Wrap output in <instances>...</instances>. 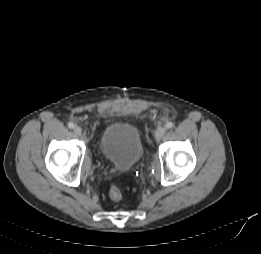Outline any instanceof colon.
<instances>
[{
  "label": "colon",
  "mask_w": 261,
  "mask_h": 254,
  "mask_svg": "<svg viewBox=\"0 0 261 254\" xmlns=\"http://www.w3.org/2000/svg\"><path fill=\"white\" fill-rule=\"evenodd\" d=\"M122 192L117 186H112L109 190V197L113 201H120L122 199Z\"/></svg>",
  "instance_id": "colon-1"
}]
</instances>
